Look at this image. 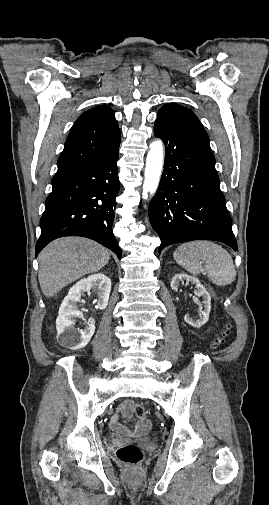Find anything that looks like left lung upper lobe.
I'll list each match as a JSON object with an SVG mask.
<instances>
[{"mask_svg": "<svg viewBox=\"0 0 269 505\" xmlns=\"http://www.w3.org/2000/svg\"><path fill=\"white\" fill-rule=\"evenodd\" d=\"M159 117H179V116H187L198 119L196 115L190 110L179 106L177 104L171 103L164 105L158 113Z\"/></svg>", "mask_w": 269, "mask_h": 505, "instance_id": "obj_1", "label": "left lung upper lobe"}]
</instances>
